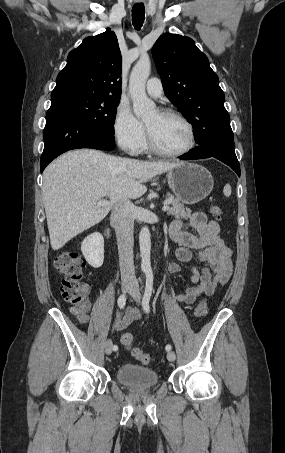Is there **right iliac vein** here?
I'll return each instance as SVG.
<instances>
[{
    "instance_id": "obj_1",
    "label": "right iliac vein",
    "mask_w": 285,
    "mask_h": 453,
    "mask_svg": "<svg viewBox=\"0 0 285 453\" xmlns=\"http://www.w3.org/2000/svg\"><path fill=\"white\" fill-rule=\"evenodd\" d=\"M132 287H133V284L130 282H127V281L123 282L122 286H121L123 292H127V291L131 290ZM112 348H113V343L110 339H108L104 344L105 353L107 355H110L112 353Z\"/></svg>"
}]
</instances>
